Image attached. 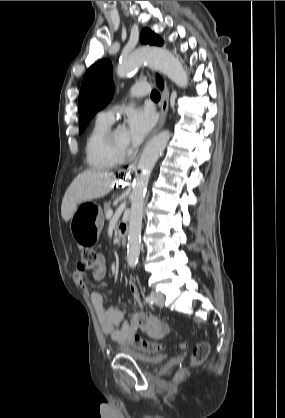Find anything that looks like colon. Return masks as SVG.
<instances>
[{
    "mask_svg": "<svg viewBox=\"0 0 285 418\" xmlns=\"http://www.w3.org/2000/svg\"><path fill=\"white\" fill-rule=\"evenodd\" d=\"M97 260V253L91 248H85L81 252V260L79 263V269L92 270L94 269ZM131 346L141 352L157 353L164 349V345L151 342L141 338L140 336H133L130 340ZM210 352V345L206 341L199 342L193 349L189 366H198L205 361ZM188 373V367L181 368L176 377L182 378Z\"/></svg>",
    "mask_w": 285,
    "mask_h": 418,
    "instance_id": "5ec220e1",
    "label": "colon"
}]
</instances>
